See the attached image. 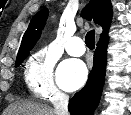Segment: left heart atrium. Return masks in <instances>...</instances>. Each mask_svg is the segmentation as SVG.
Here are the masks:
<instances>
[{
    "mask_svg": "<svg viewBox=\"0 0 131 115\" xmlns=\"http://www.w3.org/2000/svg\"><path fill=\"white\" fill-rule=\"evenodd\" d=\"M86 78L87 67L80 60L68 59L59 66L57 73L58 83L67 91H73L81 87Z\"/></svg>",
    "mask_w": 131,
    "mask_h": 115,
    "instance_id": "1",
    "label": "left heart atrium"
}]
</instances>
